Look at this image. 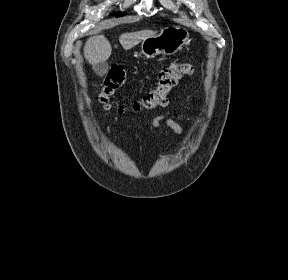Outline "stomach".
<instances>
[{
	"mask_svg": "<svg viewBox=\"0 0 288 280\" xmlns=\"http://www.w3.org/2000/svg\"><path fill=\"white\" fill-rule=\"evenodd\" d=\"M188 39L189 33L185 28L169 26L160 34L143 40L141 53L147 58H154L160 54L172 55L181 50Z\"/></svg>",
	"mask_w": 288,
	"mask_h": 280,
	"instance_id": "stomach-1",
	"label": "stomach"
}]
</instances>
